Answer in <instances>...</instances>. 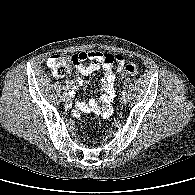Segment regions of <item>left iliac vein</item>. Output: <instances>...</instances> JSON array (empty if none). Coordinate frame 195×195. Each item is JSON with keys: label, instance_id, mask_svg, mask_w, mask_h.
<instances>
[{"label": "left iliac vein", "instance_id": "1", "mask_svg": "<svg viewBox=\"0 0 195 195\" xmlns=\"http://www.w3.org/2000/svg\"><path fill=\"white\" fill-rule=\"evenodd\" d=\"M119 102L121 105H124L127 103V97L125 95H123L120 99Z\"/></svg>", "mask_w": 195, "mask_h": 195}]
</instances>
